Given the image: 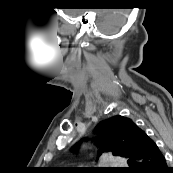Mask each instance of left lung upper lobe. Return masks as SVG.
Returning a JSON list of instances; mask_svg holds the SVG:
<instances>
[{
  "label": "left lung upper lobe",
  "instance_id": "1",
  "mask_svg": "<svg viewBox=\"0 0 173 173\" xmlns=\"http://www.w3.org/2000/svg\"><path fill=\"white\" fill-rule=\"evenodd\" d=\"M95 131L101 139L95 142L100 146L99 155L103 152H112L115 156L125 157L128 160L140 145L141 130L130 118L114 116L97 124ZM107 141V142H106ZM77 145L74 146L76 148ZM104 170L88 171L103 172Z\"/></svg>",
  "mask_w": 173,
  "mask_h": 173
}]
</instances>
